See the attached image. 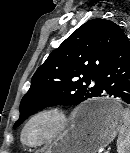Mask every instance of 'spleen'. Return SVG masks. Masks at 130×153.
<instances>
[{
    "label": "spleen",
    "instance_id": "obj_1",
    "mask_svg": "<svg viewBox=\"0 0 130 153\" xmlns=\"http://www.w3.org/2000/svg\"><path fill=\"white\" fill-rule=\"evenodd\" d=\"M123 122L119 127L117 141L118 153H130V110L123 109Z\"/></svg>",
    "mask_w": 130,
    "mask_h": 153
}]
</instances>
